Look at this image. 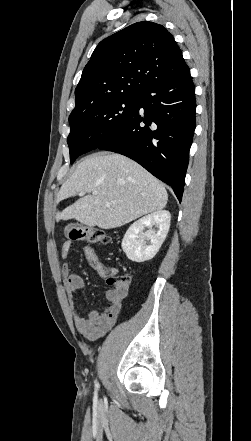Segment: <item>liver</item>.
I'll list each match as a JSON object with an SVG mask.
<instances>
[{
	"mask_svg": "<svg viewBox=\"0 0 251 441\" xmlns=\"http://www.w3.org/2000/svg\"><path fill=\"white\" fill-rule=\"evenodd\" d=\"M79 192L87 195L58 211L57 222L75 219L90 227L112 229L162 210L168 200L158 179L138 163L115 153L93 154L79 163L62 184L57 203Z\"/></svg>",
	"mask_w": 251,
	"mask_h": 441,
	"instance_id": "liver-1",
	"label": "liver"
}]
</instances>
